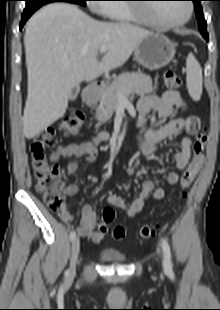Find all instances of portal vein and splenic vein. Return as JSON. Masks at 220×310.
<instances>
[{"label":"portal vein and splenic vein","instance_id":"obj_1","mask_svg":"<svg viewBox=\"0 0 220 310\" xmlns=\"http://www.w3.org/2000/svg\"><path fill=\"white\" fill-rule=\"evenodd\" d=\"M99 51H100V53H106L107 48L106 47H101ZM122 96H123L122 93H119V98H122Z\"/></svg>","mask_w":220,"mask_h":310}]
</instances>
